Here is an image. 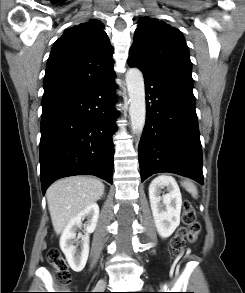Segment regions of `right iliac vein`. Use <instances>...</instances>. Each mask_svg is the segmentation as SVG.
<instances>
[{
	"mask_svg": "<svg viewBox=\"0 0 245 293\" xmlns=\"http://www.w3.org/2000/svg\"><path fill=\"white\" fill-rule=\"evenodd\" d=\"M105 287V282L104 281H99L96 285V290L100 291L103 290Z\"/></svg>",
	"mask_w": 245,
	"mask_h": 293,
	"instance_id": "1",
	"label": "right iliac vein"
}]
</instances>
